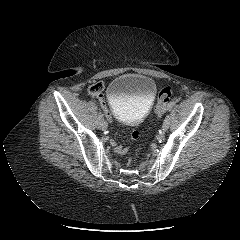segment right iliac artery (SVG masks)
<instances>
[{
  "label": "right iliac artery",
  "instance_id": "obj_1",
  "mask_svg": "<svg viewBox=\"0 0 240 240\" xmlns=\"http://www.w3.org/2000/svg\"><path fill=\"white\" fill-rule=\"evenodd\" d=\"M103 120V115L101 112H99V115H98V120L96 122V126L97 127H100V124H101V121Z\"/></svg>",
  "mask_w": 240,
  "mask_h": 240
}]
</instances>
